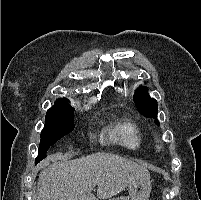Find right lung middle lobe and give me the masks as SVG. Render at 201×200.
<instances>
[{
  "label": "right lung middle lobe",
  "instance_id": "1",
  "mask_svg": "<svg viewBox=\"0 0 201 200\" xmlns=\"http://www.w3.org/2000/svg\"><path fill=\"white\" fill-rule=\"evenodd\" d=\"M74 108L67 102L55 103L46 113L45 126L41 131V141L35 163L45 158L46 152L57 140L74 128Z\"/></svg>",
  "mask_w": 201,
  "mask_h": 200
}]
</instances>
